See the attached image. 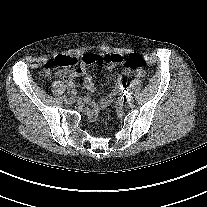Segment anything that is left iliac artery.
Returning <instances> with one entry per match:
<instances>
[{
  "mask_svg": "<svg viewBox=\"0 0 207 207\" xmlns=\"http://www.w3.org/2000/svg\"><path fill=\"white\" fill-rule=\"evenodd\" d=\"M125 97H126L127 99L132 98V93H131V92H127V93L125 94Z\"/></svg>",
  "mask_w": 207,
  "mask_h": 207,
  "instance_id": "left-iliac-artery-1",
  "label": "left iliac artery"
}]
</instances>
